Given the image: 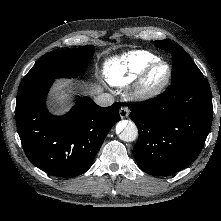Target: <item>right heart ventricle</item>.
<instances>
[{
	"label": "right heart ventricle",
	"instance_id": "e07e8e85",
	"mask_svg": "<svg viewBox=\"0 0 221 221\" xmlns=\"http://www.w3.org/2000/svg\"><path fill=\"white\" fill-rule=\"evenodd\" d=\"M159 60V57L146 50L131 51L107 60L103 65L106 82L114 87H124L132 83L143 70Z\"/></svg>",
	"mask_w": 221,
	"mask_h": 221
}]
</instances>
